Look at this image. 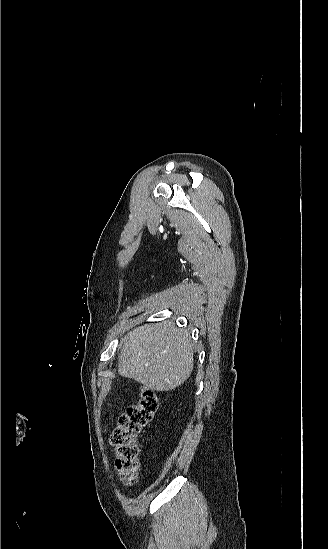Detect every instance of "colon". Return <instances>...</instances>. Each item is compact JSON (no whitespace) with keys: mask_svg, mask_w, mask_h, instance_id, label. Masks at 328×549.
I'll return each mask as SVG.
<instances>
[{"mask_svg":"<svg viewBox=\"0 0 328 549\" xmlns=\"http://www.w3.org/2000/svg\"><path fill=\"white\" fill-rule=\"evenodd\" d=\"M159 406L157 393L148 387L140 390L139 401L119 418L112 433L111 444L116 453V467L120 480L131 484L139 468L137 436L153 418Z\"/></svg>","mask_w":328,"mask_h":549,"instance_id":"obj_1","label":"colon"}]
</instances>
